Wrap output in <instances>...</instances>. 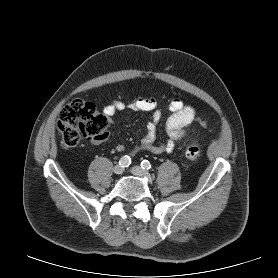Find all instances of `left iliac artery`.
Segmentation results:
<instances>
[{
  "instance_id": "left-iliac-artery-1",
  "label": "left iliac artery",
  "mask_w": 278,
  "mask_h": 278,
  "mask_svg": "<svg viewBox=\"0 0 278 278\" xmlns=\"http://www.w3.org/2000/svg\"><path fill=\"white\" fill-rule=\"evenodd\" d=\"M141 167L143 169L149 170V169H151V163L148 160H143L141 162Z\"/></svg>"
}]
</instances>
